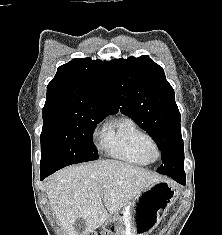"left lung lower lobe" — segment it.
Returning <instances> with one entry per match:
<instances>
[{"mask_svg":"<svg viewBox=\"0 0 222 235\" xmlns=\"http://www.w3.org/2000/svg\"><path fill=\"white\" fill-rule=\"evenodd\" d=\"M170 177L182 185L186 183L185 175H172Z\"/></svg>","mask_w":222,"mask_h":235,"instance_id":"obj_1","label":"left lung lower lobe"}]
</instances>
